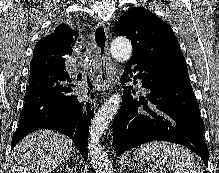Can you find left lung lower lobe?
<instances>
[{
  "mask_svg": "<svg viewBox=\"0 0 219 173\" xmlns=\"http://www.w3.org/2000/svg\"><path fill=\"white\" fill-rule=\"evenodd\" d=\"M132 71L138 72L134 79H141L150 93L148 101L139 102L131 96L132 87H124L122 105L113 123V143L118 156L145 142L166 140L191 149L208 166L204 123L189 75L175 76L166 66L131 58L125 66L122 83L131 80Z\"/></svg>",
  "mask_w": 219,
  "mask_h": 173,
  "instance_id": "0a47b994",
  "label": "left lung lower lobe"
}]
</instances>
